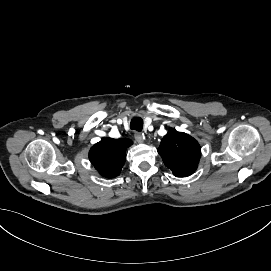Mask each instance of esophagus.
Segmentation results:
<instances>
[{
	"label": "esophagus",
	"mask_w": 271,
	"mask_h": 271,
	"mask_svg": "<svg viewBox=\"0 0 271 271\" xmlns=\"http://www.w3.org/2000/svg\"><path fill=\"white\" fill-rule=\"evenodd\" d=\"M134 137H135V139H136V141L138 143H143L144 142V138H143V135L141 133H139V132L135 133Z\"/></svg>",
	"instance_id": "34e87169"
}]
</instances>
